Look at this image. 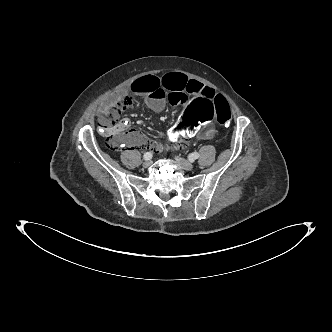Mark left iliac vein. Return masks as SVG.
I'll return each mask as SVG.
<instances>
[{
    "label": "left iliac vein",
    "instance_id": "1",
    "mask_svg": "<svg viewBox=\"0 0 332 332\" xmlns=\"http://www.w3.org/2000/svg\"><path fill=\"white\" fill-rule=\"evenodd\" d=\"M175 160L179 164V166L181 168H183L184 170L190 171L193 169V164L191 162H189L188 160L181 158L179 156H176Z\"/></svg>",
    "mask_w": 332,
    "mask_h": 332
}]
</instances>
